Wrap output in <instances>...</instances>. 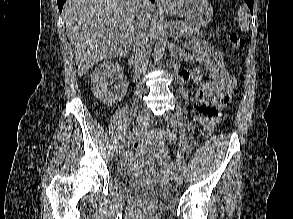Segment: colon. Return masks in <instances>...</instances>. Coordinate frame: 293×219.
I'll return each instance as SVG.
<instances>
[{"mask_svg": "<svg viewBox=\"0 0 293 219\" xmlns=\"http://www.w3.org/2000/svg\"><path fill=\"white\" fill-rule=\"evenodd\" d=\"M228 40L231 50L233 52L239 51L245 45V40L243 39V37L233 29H230L228 31ZM214 58L218 63L223 65V57L220 52H215ZM200 110L203 112L206 111V109L203 107ZM204 130L206 135H211L214 131V126L212 124H207L204 126ZM175 141V137L167 129L160 131L155 137L156 148L162 154L168 153L170 147L174 145Z\"/></svg>", "mask_w": 293, "mask_h": 219, "instance_id": "colon-1", "label": "colon"}]
</instances>
